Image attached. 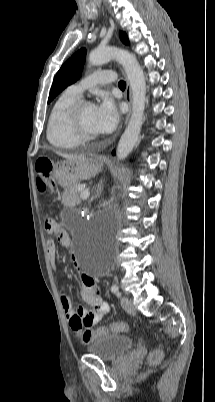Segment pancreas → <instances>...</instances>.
<instances>
[{
	"instance_id": "obj_1",
	"label": "pancreas",
	"mask_w": 215,
	"mask_h": 402,
	"mask_svg": "<svg viewBox=\"0 0 215 402\" xmlns=\"http://www.w3.org/2000/svg\"><path fill=\"white\" fill-rule=\"evenodd\" d=\"M80 184L73 185L64 190L63 204L68 207H73L80 204Z\"/></svg>"
}]
</instances>
